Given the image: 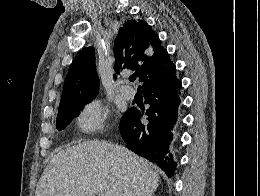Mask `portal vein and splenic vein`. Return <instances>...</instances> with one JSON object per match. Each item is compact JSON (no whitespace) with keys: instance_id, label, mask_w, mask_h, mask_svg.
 Wrapping results in <instances>:
<instances>
[{"instance_id":"obj_1","label":"portal vein and splenic vein","mask_w":260,"mask_h":196,"mask_svg":"<svg viewBox=\"0 0 260 196\" xmlns=\"http://www.w3.org/2000/svg\"><path fill=\"white\" fill-rule=\"evenodd\" d=\"M93 196H102V194H99V192H95V194H93Z\"/></svg>"}]
</instances>
